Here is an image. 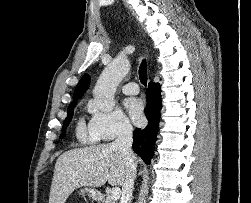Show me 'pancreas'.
I'll return each instance as SVG.
<instances>
[{"label":"pancreas","instance_id":"cf45deb5","mask_svg":"<svg viewBox=\"0 0 251 203\" xmlns=\"http://www.w3.org/2000/svg\"><path fill=\"white\" fill-rule=\"evenodd\" d=\"M104 203H115L114 199L109 198L108 196L106 197Z\"/></svg>","mask_w":251,"mask_h":203}]
</instances>
